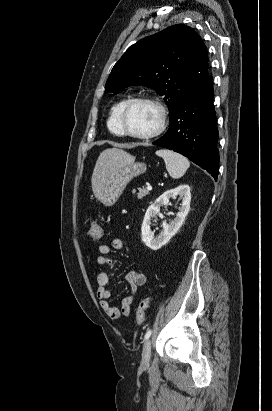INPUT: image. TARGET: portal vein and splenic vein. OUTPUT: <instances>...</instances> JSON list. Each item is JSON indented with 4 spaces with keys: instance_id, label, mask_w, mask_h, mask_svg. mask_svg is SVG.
Returning a JSON list of instances; mask_svg holds the SVG:
<instances>
[{
    "instance_id": "1",
    "label": "portal vein and splenic vein",
    "mask_w": 272,
    "mask_h": 411,
    "mask_svg": "<svg viewBox=\"0 0 272 411\" xmlns=\"http://www.w3.org/2000/svg\"><path fill=\"white\" fill-rule=\"evenodd\" d=\"M147 190H152V186L150 184L147 185Z\"/></svg>"
}]
</instances>
